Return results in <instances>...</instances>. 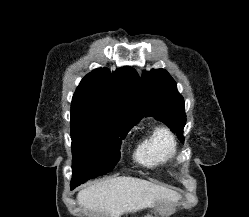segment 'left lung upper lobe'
Returning <instances> with one entry per match:
<instances>
[{"mask_svg": "<svg viewBox=\"0 0 249 217\" xmlns=\"http://www.w3.org/2000/svg\"><path fill=\"white\" fill-rule=\"evenodd\" d=\"M145 115L154 116L177 134L181 142L186 124L184 99L176 82L164 69H152L142 75Z\"/></svg>", "mask_w": 249, "mask_h": 217, "instance_id": "left-lung-upper-lobe-1", "label": "left lung upper lobe"}]
</instances>
